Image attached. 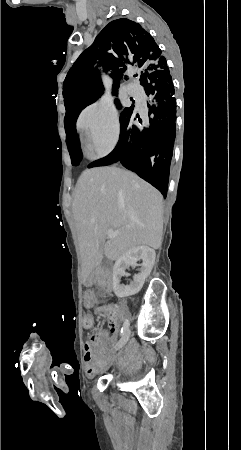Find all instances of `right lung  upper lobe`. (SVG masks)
Masks as SVG:
<instances>
[{"mask_svg": "<svg viewBox=\"0 0 241 450\" xmlns=\"http://www.w3.org/2000/svg\"><path fill=\"white\" fill-rule=\"evenodd\" d=\"M98 63L113 78V90H117L126 74L136 72L141 76L151 67L167 64L154 38L129 19L110 22L75 61L69 72L82 76L92 86L103 88Z\"/></svg>", "mask_w": 241, "mask_h": 450, "instance_id": "obj_1", "label": "right lung upper lobe"}]
</instances>
